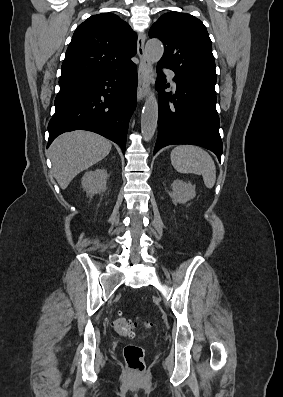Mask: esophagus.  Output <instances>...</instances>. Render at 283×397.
Here are the masks:
<instances>
[{
  "label": "esophagus",
  "mask_w": 283,
  "mask_h": 397,
  "mask_svg": "<svg viewBox=\"0 0 283 397\" xmlns=\"http://www.w3.org/2000/svg\"><path fill=\"white\" fill-rule=\"evenodd\" d=\"M145 39L146 36L144 33L138 34L137 53L140 58V64L138 67L137 97L139 101H142L148 95L152 73V64L144 49Z\"/></svg>",
  "instance_id": "34e87169"
}]
</instances>
